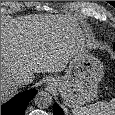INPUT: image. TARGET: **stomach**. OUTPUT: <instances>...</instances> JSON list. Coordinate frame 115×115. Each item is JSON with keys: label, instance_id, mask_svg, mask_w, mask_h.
Returning a JSON list of instances; mask_svg holds the SVG:
<instances>
[{"label": "stomach", "instance_id": "0dacf381", "mask_svg": "<svg viewBox=\"0 0 115 115\" xmlns=\"http://www.w3.org/2000/svg\"><path fill=\"white\" fill-rule=\"evenodd\" d=\"M104 76V66L85 42L72 58L65 75L50 80L68 107L79 108L95 99L98 84Z\"/></svg>", "mask_w": 115, "mask_h": 115}]
</instances>
